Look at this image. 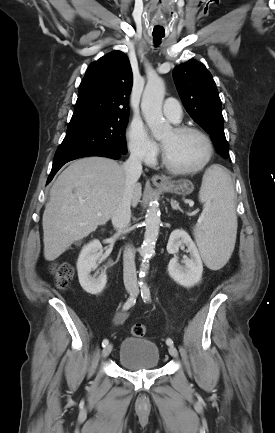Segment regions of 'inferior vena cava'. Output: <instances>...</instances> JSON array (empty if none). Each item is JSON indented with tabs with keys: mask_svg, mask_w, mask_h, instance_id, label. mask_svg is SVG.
I'll return each instance as SVG.
<instances>
[{
	"mask_svg": "<svg viewBox=\"0 0 275 433\" xmlns=\"http://www.w3.org/2000/svg\"><path fill=\"white\" fill-rule=\"evenodd\" d=\"M125 189L122 197L111 215L114 228L124 231L129 227L131 218V200L136 182L142 173V158L137 152H131L123 164ZM123 279L127 291H137V275L135 267V251L127 247L123 254Z\"/></svg>",
	"mask_w": 275,
	"mask_h": 433,
	"instance_id": "inferior-vena-cava-1",
	"label": "inferior vena cava"
}]
</instances>
